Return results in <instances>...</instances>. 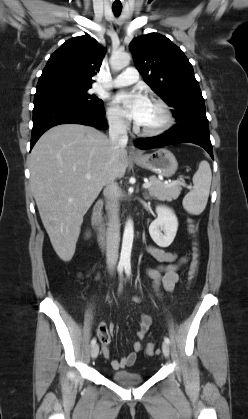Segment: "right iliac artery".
<instances>
[{
    "label": "right iliac artery",
    "mask_w": 248,
    "mask_h": 419,
    "mask_svg": "<svg viewBox=\"0 0 248 419\" xmlns=\"http://www.w3.org/2000/svg\"><path fill=\"white\" fill-rule=\"evenodd\" d=\"M117 269H118V272H119L120 276H122V273H123V265L122 264L118 265V268ZM95 344H96V338H93L92 341H91V345L93 346Z\"/></svg>",
    "instance_id": "obj_1"
}]
</instances>
